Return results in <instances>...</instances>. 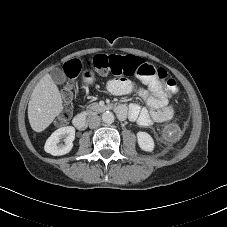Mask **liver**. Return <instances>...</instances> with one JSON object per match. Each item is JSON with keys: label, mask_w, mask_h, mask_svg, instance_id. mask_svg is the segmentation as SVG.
I'll return each instance as SVG.
<instances>
[{"label": "liver", "mask_w": 227, "mask_h": 227, "mask_svg": "<svg viewBox=\"0 0 227 227\" xmlns=\"http://www.w3.org/2000/svg\"><path fill=\"white\" fill-rule=\"evenodd\" d=\"M62 98L50 74L43 76L35 86L29 103L28 119L35 132L45 130L62 109Z\"/></svg>", "instance_id": "1"}]
</instances>
